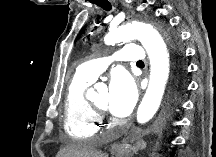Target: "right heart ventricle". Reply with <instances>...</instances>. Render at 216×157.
Masks as SVG:
<instances>
[{
    "mask_svg": "<svg viewBox=\"0 0 216 157\" xmlns=\"http://www.w3.org/2000/svg\"><path fill=\"white\" fill-rule=\"evenodd\" d=\"M92 82L76 73L68 83L64 98L63 127L71 137L89 138L98 130L99 113L86 97V91Z\"/></svg>",
    "mask_w": 216,
    "mask_h": 157,
    "instance_id": "1",
    "label": "right heart ventricle"
}]
</instances>
